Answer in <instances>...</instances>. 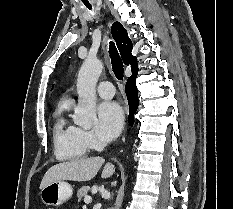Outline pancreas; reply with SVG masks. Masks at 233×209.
Listing matches in <instances>:
<instances>
[{"label": "pancreas", "instance_id": "cf45deb5", "mask_svg": "<svg viewBox=\"0 0 233 209\" xmlns=\"http://www.w3.org/2000/svg\"><path fill=\"white\" fill-rule=\"evenodd\" d=\"M89 189H90L89 186L81 187L77 192L78 200H81L82 198H85L86 196H88Z\"/></svg>", "mask_w": 233, "mask_h": 209}]
</instances>
